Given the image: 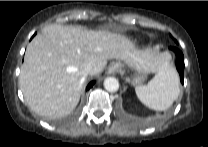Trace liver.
<instances>
[{
	"label": "liver",
	"instance_id": "1",
	"mask_svg": "<svg viewBox=\"0 0 208 147\" xmlns=\"http://www.w3.org/2000/svg\"><path fill=\"white\" fill-rule=\"evenodd\" d=\"M118 59L145 74L158 72L168 56L137 50L127 37L105 30L51 24L29 43L19 76L28 106L37 114L62 117L77 106L86 75L100 74L107 60Z\"/></svg>",
	"mask_w": 208,
	"mask_h": 147
}]
</instances>
